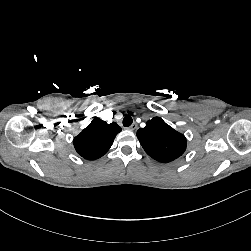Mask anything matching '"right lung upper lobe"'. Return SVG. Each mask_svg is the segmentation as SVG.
<instances>
[{"label": "right lung upper lobe", "mask_w": 251, "mask_h": 251, "mask_svg": "<svg viewBox=\"0 0 251 251\" xmlns=\"http://www.w3.org/2000/svg\"><path fill=\"white\" fill-rule=\"evenodd\" d=\"M121 130L116 123L107 124L95 118L74 138L73 144L80 156L87 160H95L106 154Z\"/></svg>", "instance_id": "obj_1"}]
</instances>
